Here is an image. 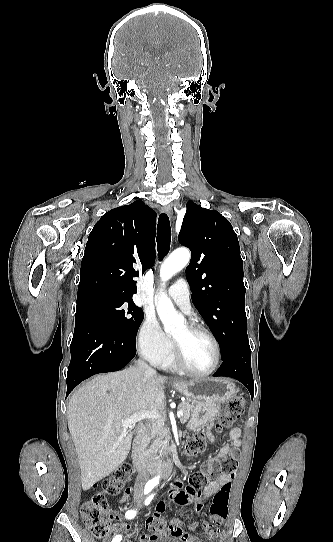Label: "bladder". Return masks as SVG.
I'll list each match as a JSON object with an SVG mask.
<instances>
[{
  "label": "bladder",
  "mask_w": 333,
  "mask_h": 542,
  "mask_svg": "<svg viewBox=\"0 0 333 542\" xmlns=\"http://www.w3.org/2000/svg\"><path fill=\"white\" fill-rule=\"evenodd\" d=\"M151 542H179L177 538L172 535H161L154 538Z\"/></svg>",
  "instance_id": "obj_1"
}]
</instances>
